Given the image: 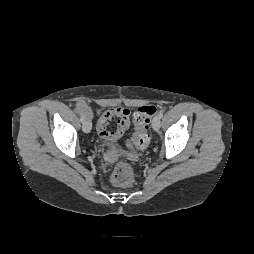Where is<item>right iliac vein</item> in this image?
Listing matches in <instances>:
<instances>
[{
  "mask_svg": "<svg viewBox=\"0 0 254 254\" xmlns=\"http://www.w3.org/2000/svg\"><path fill=\"white\" fill-rule=\"evenodd\" d=\"M92 128V124L91 121L89 119L84 120L83 125H82V129L85 133H89L91 131Z\"/></svg>",
  "mask_w": 254,
  "mask_h": 254,
  "instance_id": "63e3f726",
  "label": "right iliac vein"
}]
</instances>
